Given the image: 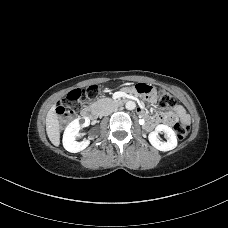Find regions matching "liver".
I'll use <instances>...</instances> for the list:
<instances>
[{"label":"liver","mask_w":228,"mask_h":228,"mask_svg":"<svg viewBox=\"0 0 228 228\" xmlns=\"http://www.w3.org/2000/svg\"><path fill=\"white\" fill-rule=\"evenodd\" d=\"M56 105H53L46 116V132L49 140L55 146L60 144V125L55 112Z\"/></svg>","instance_id":"6515ba94"}]
</instances>
